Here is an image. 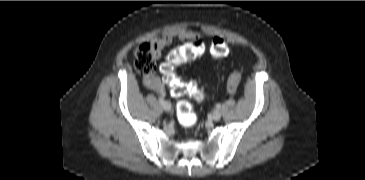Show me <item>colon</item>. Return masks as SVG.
<instances>
[{"mask_svg": "<svg viewBox=\"0 0 365 180\" xmlns=\"http://www.w3.org/2000/svg\"><path fill=\"white\" fill-rule=\"evenodd\" d=\"M205 50L204 43L193 40L174 49L167 57L162 67L165 82L170 86L173 94L180 98L177 104V116L179 122L186 127H193L197 124L198 118L192 109V105L183 96H191L203 100V91L193 80L181 81L174 73V67L186 61L199 58ZM211 53L215 58H222L228 53V45L222 38H216L211 45ZM134 65L136 70L145 76L151 75L156 69V53L148 43L139 44L133 50ZM240 81V74L231 75L228 88L233 91Z\"/></svg>", "mask_w": 365, "mask_h": 180, "instance_id": "5ec220e1", "label": "colon"}]
</instances>
